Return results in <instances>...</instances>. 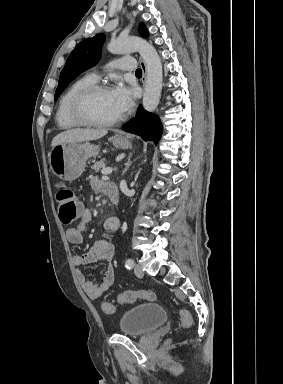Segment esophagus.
I'll list each match as a JSON object with an SVG mask.
<instances>
[{"mask_svg": "<svg viewBox=\"0 0 283 384\" xmlns=\"http://www.w3.org/2000/svg\"><path fill=\"white\" fill-rule=\"evenodd\" d=\"M139 62H140V66L142 68V79H141V81H142V84L144 86L145 83H146L147 68H146L145 62L142 59H139Z\"/></svg>", "mask_w": 283, "mask_h": 384, "instance_id": "1", "label": "esophagus"}]
</instances>
